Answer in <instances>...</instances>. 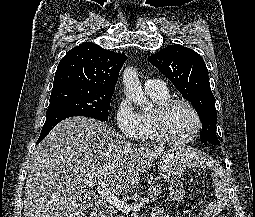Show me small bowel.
Listing matches in <instances>:
<instances>
[{
	"label": "small bowel",
	"mask_w": 255,
	"mask_h": 217,
	"mask_svg": "<svg viewBox=\"0 0 255 217\" xmlns=\"http://www.w3.org/2000/svg\"><path fill=\"white\" fill-rule=\"evenodd\" d=\"M214 205H216L217 208L214 212H211ZM221 210H222V205L219 202L212 203V204L209 205V207L207 209V216L206 217H215ZM151 217H173V216L163 212L160 208L155 207L152 210Z\"/></svg>",
	"instance_id": "small-bowel-1"
}]
</instances>
